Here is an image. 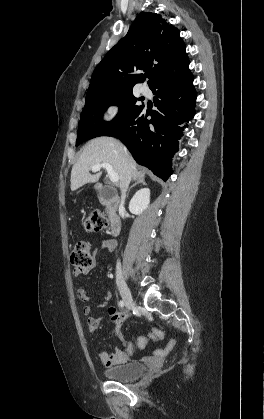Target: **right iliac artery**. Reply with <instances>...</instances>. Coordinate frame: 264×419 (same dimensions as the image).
Segmentation results:
<instances>
[{"mask_svg": "<svg viewBox=\"0 0 264 419\" xmlns=\"http://www.w3.org/2000/svg\"><path fill=\"white\" fill-rule=\"evenodd\" d=\"M118 304H119V306H120V307H123V306H124V301L120 300V301L118 302Z\"/></svg>", "mask_w": 264, "mask_h": 419, "instance_id": "obj_1", "label": "right iliac artery"}]
</instances>
